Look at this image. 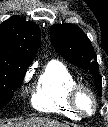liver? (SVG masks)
<instances>
[{"label": "liver", "instance_id": "6515ba94", "mask_svg": "<svg viewBox=\"0 0 108 127\" xmlns=\"http://www.w3.org/2000/svg\"><path fill=\"white\" fill-rule=\"evenodd\" d=\"M1 127H68L67 125L50 118L32 117L21 122L3 124Z\"/></svg>", "mask_w": 108, "mask_h": 127}]
</instances>
